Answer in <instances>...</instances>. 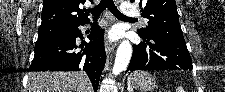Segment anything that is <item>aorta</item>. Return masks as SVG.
Masks as SVG:
<instances>
[{
    "mask_svg": "<svg viewBox=\"0 0 225 92\" xmlns=\"http://www.w3.org/2000/svg\"><path fill=\"white\" fill-rule=\"evenodd\" d=\"M132 55V46L128 40L121 42L117 49L115 63L113 66V74L118 75L125 70L130 62Z\"/></svg>",
    "mask_w": 225,
    "mask_h": 92,
    "instance_id": "obj_1",
    "label": "aorta"
}]
</instances>
